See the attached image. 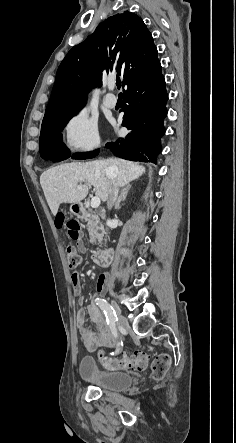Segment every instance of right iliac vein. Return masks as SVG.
Instances as JSON below:
<instances>
[{
	"label": "right iliac vein",
	"instance_id": "obj_1",
	"mask_svg": "<svg viewBox=\"0 0 236 443\" xmlns=\"http://www.w3.org/2000/svg\"><path fill=\"white\" fill-rule=\"evenodd\" d=\"M118 320L121 325H125L127 323L126 318L122 315H118Z\"/></svg>",
	"mask_w": 236,
	"mask_h": 443
}]
</instances>
